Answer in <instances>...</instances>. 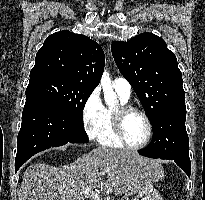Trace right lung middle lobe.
<instances>
[{
	"label": "right lung middle lobe",
	"mask_w": 205,
	"mask_h": 200,
	"mask_svg": "<svg viewBox=\"0 0 205 200\" xmlns=\"http://www.w3.org/2000/svg\"><path fill=\"white\" fill-rule=\"evenodd\" d=\"M93 90L75 81L47 75L30 79L25 94L49 101L83 125V109Z\"/></svg>",
	"instance_id": "1"
}]
</instances>
